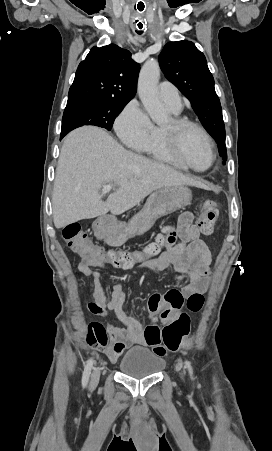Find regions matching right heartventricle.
I'll return each mask as SVG.
<instances>
[{"label":"right heart ventricle","instance_id":"right-heart-ventricle-1","mask_svg":"<svg viewBox=\"0 0 272 451\" xmlns=\"http://www.w3.org/2000/svg\"><path fill=\"white\" fill-rule=\"evenodd\" d=\"M162 101L167 104L172 111H174L167 102L164 100ZM163 128L164 127H154L149 139L145 143L135 146L136 149L160 160H171L173 156L172 145L170 142L163 141Z\"/></svg>","mask_w":272,"mask_h":451}]
</instances>
